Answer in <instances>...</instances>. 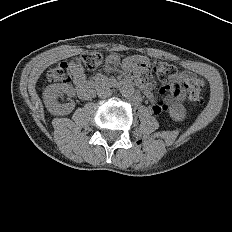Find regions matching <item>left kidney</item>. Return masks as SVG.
I'll list each match as a JSON object with an SVG mask.
<instances>
[{
	"label": "left kidney",
	"mask_w": 232,
	"mask_h": 232,
	"mask_svg": "<svg viewBox=\"0 0 232 232\" xmlns=\"http://www.w3.org/2000/svg\"><path fill=\"white\" fill-rule=\"evenodd\" d=\"M170 116L175 121H183L186 118V108L179 103L174 104L169 110Z\"/></svg>",
	"instance_id": "1"
}]
</instances>
